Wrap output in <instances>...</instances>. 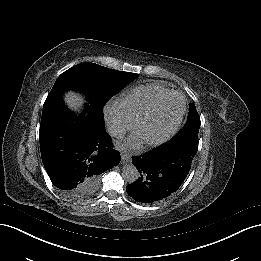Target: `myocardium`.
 <instances>
[{"mask_svg": "<svg viewBox=\"0 0 261 261\" xmlns=\"http://www.w3.org/2000/svg\"><path fill=\"white\" fill-rule=\"evenodd\" d=\"M175 98H180L182 100V110H181V113H180L177 121L175 122V124L168 131H166L165 133H163L162 135H160L158 137H154V138L140 137L138 135V128H139V125H140L141 121L143 120V118L164 109ZM186 109H187V102H186L185 96L181 93H172L168 98H166L165 100L160 102L153 110L143 114L140 118H138L135 121V123L133 124V127L131 129V136H130V140H131L132 144L136 148H141L143 146L159 145V144L167 141L179 129V127L184 119Z\"/></svg>", "mask_w": 261, "mask_h": 261, "instance_id": "1", "label": "myocardium"}]
</instances>
